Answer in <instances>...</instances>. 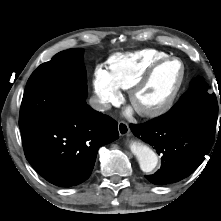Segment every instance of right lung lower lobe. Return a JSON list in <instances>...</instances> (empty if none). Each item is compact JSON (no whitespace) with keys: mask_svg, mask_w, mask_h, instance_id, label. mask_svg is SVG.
<instances>
[{"mask_svg":"<svg viewBox=\"0 0 221 221\" xmlns=\"http://www.w3.org/2000/svg\"><path fill=\"white\" fill-rule=\"evenodd\" d=\"M118 137L117 122L93 110L85 99L57 119L22 132L28 162L59 187L87 180L98 149Z\"/></svg>","mask_w":221,"mask_h":221,"instance_id":"1","label":"right lung lower lobe"}]
</instances>
